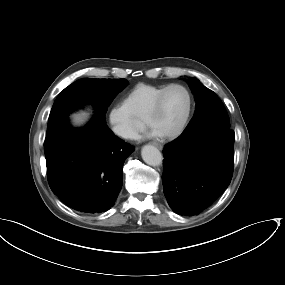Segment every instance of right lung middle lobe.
<instances>
[{"instance_id":"dd1d6c3e","label":"right lung middle lobe","mask_w":285,"mask_h":285,"mask_svg":"<svg viewBox=\"0 0 285 285\" xmlns=\"http://www.w3.org/2000/svg\"><path fill=\"white\" fill-rule=\"evenodd\" d=\"M127 84L126 79L83 78L75 81L56 98L49 116L47 135L66 121L70 112L86 103L92 104L96 114L105 121L107 108Z\"/></svg>"}]
</instances>
